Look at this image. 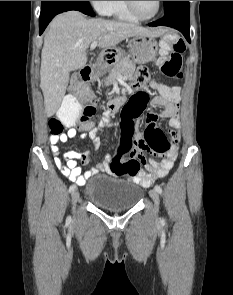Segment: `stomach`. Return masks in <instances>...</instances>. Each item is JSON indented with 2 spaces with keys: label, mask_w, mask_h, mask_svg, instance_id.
Here are the masks:
<instances>
[{
  "label": "stomach",
  "mask_w": 233,
  "mask_h": 295,
  "mask_svg": "<svg viewBox=\"0 0 233 295\" xmlns=\"http://www.w3.org/2000/svg\"><path fill=\"white\" fill-rule=\"evenodd\" d=\"M128 47L132 60L137 64H146L156 60L158 44L152 36H133L129 41ZM121 57L122 53L118 52L115 59L119 60Z\"/></svg>",
  "instance_id": "stomach-1"
}]
</instances>
